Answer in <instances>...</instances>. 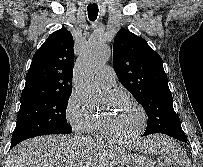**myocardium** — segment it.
Here are the masks:
<instances>
[{
    "label": "myocardium",
    "instance_id": "obj_1",
    "mask_svg": "<svg viewBox=\"0 0 203 167\" xmlns=\"http://www.w3.org/2000/svg\"><path fill=\"white\" fill-rule=\"evenodd\" d=\"M114 95L120 97L121 99L126 101L129 105H131L132 107H134L137 110V112L139 113V116H140L139 126H138L137 130L135 132H133L131 135L126 136V137H119V136L113 135L105 126L104 121L101 118H99V126H100L101 133L106 139L116 142V143L132 142V141L138 139L144 132V130L146 128V124H147V114H146L144 108L137 101L132 99L127 94L117 91V92H114Z\"/></svg>",
    "mask_w": 203,
    "mask_h": 167
}]
</instances>
